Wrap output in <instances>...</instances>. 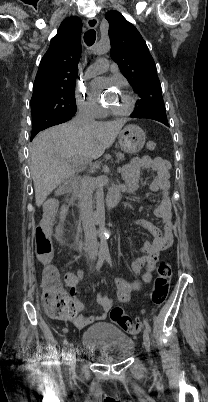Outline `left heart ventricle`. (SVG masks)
Wrapping results in <instances>:
<instances>
[{
    "mask_svg": "<svg viewBox=\"0 0 208 402\" xmlns=\"http://www.w3.org/2000/svg\"><path fill=\"white\" fill-rule=\"evenodd\" d=\"M92 95L96 96L95 88L92 89ZM106 100L115 108H124L129 103V97L125 92H121L119 95L107 97Z\"/></svg>",
    "mask_w": 208,
    "mask_h": 402,
    "instance_id": "1",
    "label": "left heart ventricle"
}]
</instances>
